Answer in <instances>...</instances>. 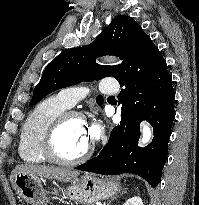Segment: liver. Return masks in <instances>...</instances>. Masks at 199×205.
Listing matches in <instances>:
<instances>
[{
  "label": "liver",
  "mask_w": 199,
  "mask_h": 205,
  "mask_svg": "<svg viewBox=\"0 0 199 205\" xmlns=\"http://www.w3.org/2000/svg\"><path fill=\"white\" fill-rule=\"evenodd\" d=\"M18 173H25L41 178H47L59 182H71L73 179L77 178L80 174L78 171H73L65 168H58L53 166L45 165H31L22 164L17 165L11 172L10 180L12 186L14 187V178Z\"/></svg>",
  "instance_id": "obj_1"
}]
</instances>
